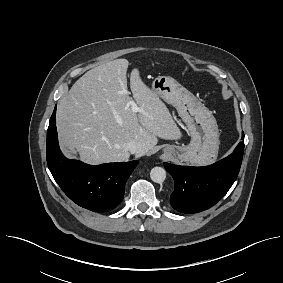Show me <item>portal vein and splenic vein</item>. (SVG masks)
Wrapping results in <instances>:
<instances>
[{
	"label": "portal vein and splenic vein",
	"mask_w": 283,
	"mask_h": 283,
	"mask_svg": "<svg viewBox=\"0 0 283 283\" xmlns=\"http://www.w3.org/2000/svg\"><path fill=\"white\" fill-rule=\"evenodd\" d=\"M129 104H130L131 110L134 113L144 112V110L142 108L138 107V105L136 104V102L134 100H131Z\"/></svg>",
	"instance_id": "18ae733b"
}]
</instances>
